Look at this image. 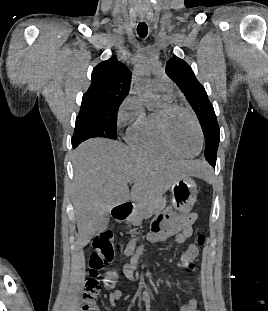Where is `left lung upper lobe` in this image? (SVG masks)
I'll use <instances>...</instances> for the list:
<instances>
[{
	"mask_svg": "<svg viewBox=\"0 0 268 311\" xmlns=\"http://www.w3.org/2000/svg\"><path fill=\"white\" fill-rule=\"evenodd\" d=\"M165 72L195 111L206 139L205 158L212 166L215 165L220 133L213 105L204 87L197 81L190 66L176 56L167 61Z\"/></svg>",
	"mask_w": 268,
	"mask_h": 311,
	"instance_id": "obj_1",
	"label": "left lung upper lobe"
}]
</instances>
